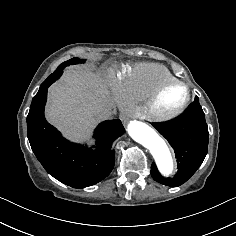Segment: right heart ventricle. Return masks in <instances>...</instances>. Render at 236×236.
Here are the masks:
<instances>
[{
	"label": "right heart ventricle",
	"instance_id": "e07e8e85",
	"mask_svg": "<svg viewBox=\"0 0 236 236\" xmlns=\"http://www.w3.org/2000/svg\"><path fill=\"white\" fill-rule=\"evenodd\" d=\"M172 80H176V77L163 65L137 64L122 83L124 100L126 102H145L159 85Z\"/></svg>",
	"mask_w": 236,
	"mask_h": 236
}]
</instances>
